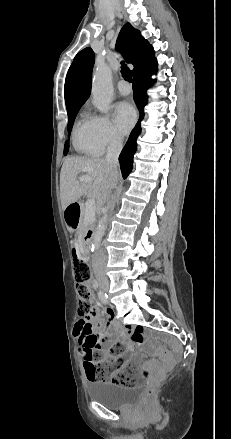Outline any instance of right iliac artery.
<instances>
[{"label": "right iliac artery", "instance_id": "right-iliac-artery-1", "mask_svg": "<svg viewBox=\"0 0 231 439\" xmlns=\"http://www.w3.org/2000/svg\"><path fill=\"white\" fill-rule=\"evenodd\" d=\"M98 297H99V300H101V302H103L104 304H107L108 296L106 293H104L103 291H99Z\"/></svg>", "mask_w": 231, "mask_h": 439}]
</instances>
